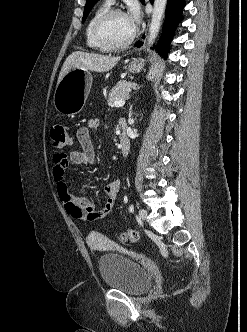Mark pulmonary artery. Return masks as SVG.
<instances>
[{
  "mask_svg": "<svg viewBox=\"0 0 247 332\" xmlns=\"http://www.w3.org/2000/svg\"><path fill=\"white\" fill-rule=\"evenodd\" d=\"M115 0H106L107 3L112 4Z\"/></svg>",
  "mask_w": 247,
  "mask_h": 332,
  "instance_id": "e3ab8cb5",
  "label": "pulmonary artery"
}]
</instances>
